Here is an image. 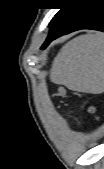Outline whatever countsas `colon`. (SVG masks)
Wrapping results in <instances>:
<instances>
[{
	"label": "colon",
	"mask_w": 104,
	"mask_h": 169,
	"mask_svg": "<svg viewBox=\"0 0 104 169\" xmlns=\"http://www.w3.org/2000/svg\"><path fill=\"white\" fill-rule=\"evenodd\" d=\"M59 94H60V95H63V90H60V91H59ZM94 110H95L94 107L91 106V107H90V111L93 112Z\"/></svg>",
	"instance_id": "colon-1"
}]
</instances>
